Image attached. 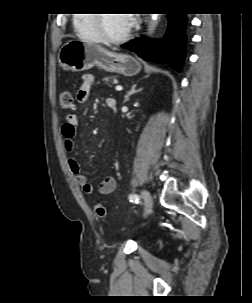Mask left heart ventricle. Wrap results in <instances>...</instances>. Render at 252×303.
<instances>
[{"label":"left heart ventricle","mask_w":252,"mask_h":303,"mask_svg":"<svg viewBox=\"0 0 252 303\" xmlns=\"http://www.w3.org/2000/svg\"><path fill=\"white\" fill-rule=\"evenodd\" d=\"M130 26L127 14L110 13L104 15L103 27L110 36H120L126 32Z\"/></svg>","instance_id":"1"}]
</instances>
